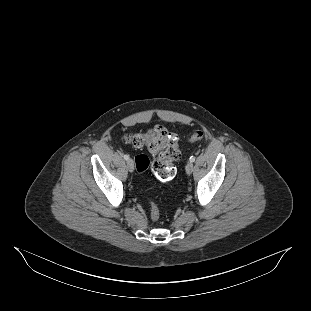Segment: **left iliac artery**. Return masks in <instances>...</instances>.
<instances>
[{"label": "left iliac artery", "instance_id": "44dca946", "mask_svg": "<svg viewBox=\"0 0 311 311\" xmlns=\"http://www.w3.org/2000/svg\"><path fill=\"white\" fill-rule=\"evenodd\" d=\"M189 160H190V162H194V161H195V157H194V156H191V157L189 158Z\"/></svg>", "mask_w": 311, "mask_h": 311}]
</instances>
